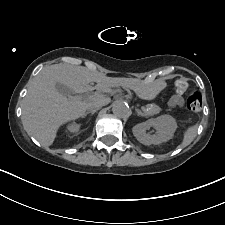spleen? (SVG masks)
Instances as JSON below:
<instances>
[{"mask_svg":"<svg viewBox=\"0 0 225 225\" xmlns=\"http://www.w3.org/2000/svg\"><path fill=\"white\" fill-rule=\"evenodd\" d=\"M197 125H193L191 127H188L185 132H184V136H183V141L181 143V147H186L189 144H191V142L195 139L196 137V133H197Z\"/></svg>","mask_w":225,"mask_h":225,"instance_id":"1","label":"spleen"}]
</instances>
